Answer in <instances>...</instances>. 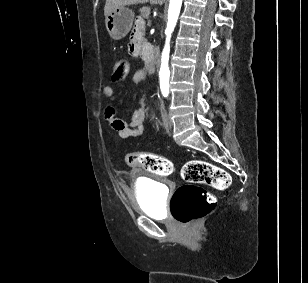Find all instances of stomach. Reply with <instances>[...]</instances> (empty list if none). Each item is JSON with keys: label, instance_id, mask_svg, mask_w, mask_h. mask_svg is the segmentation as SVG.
I'll list each match as a JSON object with an SVG mask.
<instances>
[{"label": "stomach", "instance_id": "0dacf381", "mask_svg": "<svg viewBox=\"0 0 308 283\" xmlns=\"http://www.w3.org/2000/svg\"><path fill=\"white\" fill-rule=\"evenodd\" d=\"M134 19V12L126 6L114 9L105 18L106 29L114 40L124 38L130 31Z\"/></svg>", "mask_w": 308, "mask_h": 283}]
</instances>
